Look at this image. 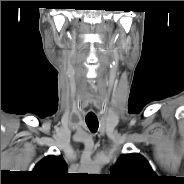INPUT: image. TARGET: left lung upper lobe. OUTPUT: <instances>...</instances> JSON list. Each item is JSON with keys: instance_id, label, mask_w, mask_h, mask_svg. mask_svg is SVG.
<instances>
[{"instance_id": "obj_1", "label": "left lung upper lobe", "mask_w": 184, "mask_h": 184, "mask_svg": "<svg viewBox=\"0 0 184 184\" xmlns=\"http://www.w3.org/2000/svg\"><path fill=\"white\" fill-rule=\"evenodd\" d=\"M116 184H152L156 174L147 160L137 153L122 155L111 168Z\"/></svg>"}]
</instances>
